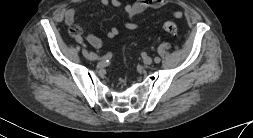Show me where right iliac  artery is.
Masks as SVG:
<instances>
[{
	"mask_svg": "<svg viewBox=\"0 0 253 138\" xmlns=\"http://www.w3.org/2000/svg\"><path fill=\"white\" fill-rule=\"evenodd\" d=\"M75 40H76V42L79 44V45H83L84 43H85V40L81 37V36H76L75 37ZM90 55H91V57H93V58H95V59H97L98 58V56L96 55V54H94V53H90ZM111 53H107V54H105L102 58L104 59V60H108V59H110L111 58Z\"/></svg>",
	"mask_w": 253,
	"mask_h": 138,
	"instance_id": "right-iliac-artery-1",
	"label": "right iliac artery"
}]
</instances>
